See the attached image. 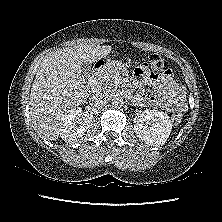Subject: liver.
I'll use <instances>...</instances> for the list:
<instances>
[{"instance_id": "obj_1", "label": "liver", "mask_w": 222, "mask_h": 222, "mask_svg": "<svg viewBox=\"0 0 222 222\" xmlns=\"http://www.w3.org/2000/svg\"><path fill=\"white\" fill-rule=\"evenodd\" d=\"M111 46L82 45L49 54L41 63L30 95V117L39 135L56 140L63 119L86 103L83 65L106 57Z\"/></svg>"}]
</instances>
